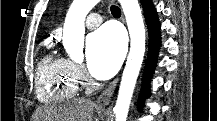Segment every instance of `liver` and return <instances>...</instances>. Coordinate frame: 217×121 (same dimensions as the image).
Here are the masks:
<instances>
[{
    "mask_svg": "<svg viewBox=\"0 0 217 121\" xmlns=\"http://www.w3.org/2000/svg\"><path fill=\"white\" fill-rule=\"evenodd\" d=\"M94 107L93 101L78 98L57 106L41 108L38 119L39 121H94Z\"/></svg>",
    "mask_w": 217,
    "mask_h": 121,
    "instance_id": "1",
    "label": "liver"
}]
</instances>
